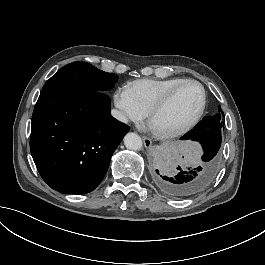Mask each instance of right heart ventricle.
<instances>
[{"instance_id": "1", "label": "right heart ventricle", "mask_w": 265, "mask_h": 265, "mask_svg": "<svg viewBox=\"0 0 265 265\" xmlns=\"http://www.w3.org/2000/svg\"><path fill=\"white\" fill-rule=\"evenodd\" d=\"M183 79L185 78L139 79L130 82L127 87L141 108L149 114L154 105Z\"/></svg>"}]
</instances>
